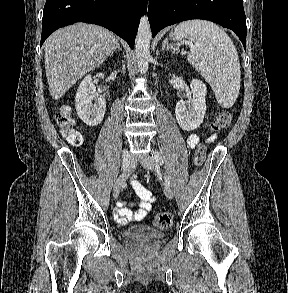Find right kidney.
Returning <instances> with one entry per match:
<instances>
[{"mask_svg":"<svg viewBox=\"0 0 288 293\" xmlns=\"http://www.w3.org/2000/svg\"><path fill=\"white\" fill-rule=\"evenodd\" d=\"M75 106L79 118L89 126H97L104 118L106 102L103 96L96 92L91 75H87L80 83Z\"/></svg>","mask_w":288,"mask_h":293,"instance_id":"obj_1","label":"right kidney"}]
</instances>
